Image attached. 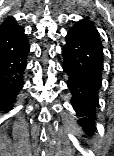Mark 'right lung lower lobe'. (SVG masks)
<instances>
[{
  "label": "right lung lower lobe",
  "mask_w": 114,
  "mask_h": 156,
  "mask_svg": "<svg viewBox=\"0 0 114 156\" xmlns=\"http://www.w3.org/2000/svg\"><path fill=\"white\" fill-rule=\"evenodd\" d=\"M28 53L24 29L8 18L0 24V111L11 109L23 87Z\"/></svg>",
  "instance_id": "98d812e1"
}]
</instances>
